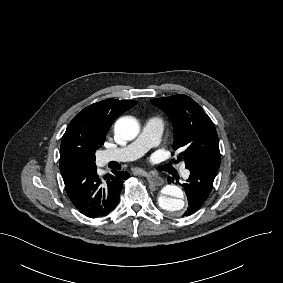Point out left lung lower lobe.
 <instances>
[{"label":"left lung lower lobe","instance_id":"obj_1","mask_svg":"<svg viewBox=\"0 0 283 283\" xmlns=\"http://www.w3.org/2000/svg\"><path fill=\"white\" fill-rule=\"evenodd\" d=\"M220 165L212 163H204L194 165L190 170V176L187 183L183 184L186 195L188 197V207L183 216L193 214L201 208L209 197L214 178L218 172Z\"/></svg>","mask_w":283,"mask_h":283}]
</instances>
